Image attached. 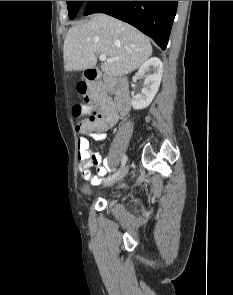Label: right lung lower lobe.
Returning <instances> with one entry per match:
<instances>
[{"instance_id":"1","label":"right lung lower lobe","mask_w":233,"mask_h":295,"mask_svg":"<svg viewBox=\"0 0 233 295\" xmlns=\"http://www.w3.org/2000/svg\"><path fill=\"white\" fill-rule=\"evenodd\" d=\"M176 9L177 1H88L84 15L102 12L123 20L165 50Z\"/></svg>"}]
</instances>
